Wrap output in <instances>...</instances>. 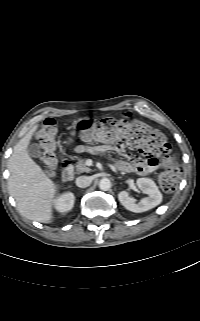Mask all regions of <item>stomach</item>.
Masks as SVG:
<instances>
[{
	"mask_svg": "<svg viewBox=\"0 0 200 321\" xmlns=\"http://www.w3.org/2000/svg\"><path fill=\"white\" fill-rule=\"evenodd\" d=\"M93 125L94 122H92L89 118H80L73 124L74 128L76 129H89Z\"/></svg>",
	"mask_w": 200,
	"mask_h": 321,
	"instance_id": "0dacf381",
	"label": "stomach"
}]
</instances>
